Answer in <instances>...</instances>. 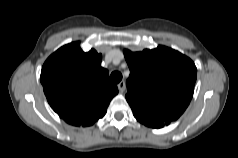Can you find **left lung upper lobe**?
Instances as JSON below:
<instances>
[{"instance_id": "1", "label": "left lung upper lobe", "mask_w": 238, "mask_h": 158, "mask_svg": "<svg viewBox=\"0 0 238 158\" xmlns=\"http://www.w3.org/2000/svg\"><path fill=\"white\" fill-rule=\"evenodd\" d=\"M124 56L130 69L126 100L134 116L152 121L178 119L193 96L194 62L165 46L135 53L124 50Z\"/></svg>"}]
</instances>
